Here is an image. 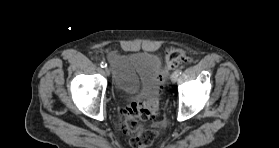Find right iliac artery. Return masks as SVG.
Masks as SVG:
<instances>
[{
    "instance_id": "right-iliac-artery-1",
    "label": "right iliac artery",
    "mask_w": 279,
    "mask_h": 148,
    "mask_svg": "<svg viewBox=\"0 0 279 148\" xmlns=\"http://www.w3.org/2000/svg\"><path fill=\"white\" fill-rule=\"evenodd\" d=\"M100 66H101L102 68H106V67H107V64H106L105 62H101V63H100Z\"/></svg>"
}]
</instances>
